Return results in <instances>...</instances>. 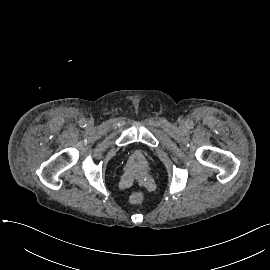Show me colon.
<instances>
[{"label":"colon","mask_w":270,"mask_h":270,"mask_svg":"<svg viewBox=\"0 0 270 270\" xmlns=\"http://www.w3.org/2000/svg\"><path fill=\"white\" fill-rule=\"evenodd\" d=\"M145 198V192L141 189L133 191L128 200L129 203L132 205L140 204Z\"/></svg>","instance_id":"obj_1"}]
</instances>
